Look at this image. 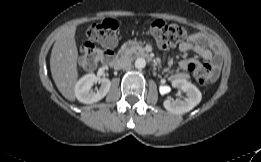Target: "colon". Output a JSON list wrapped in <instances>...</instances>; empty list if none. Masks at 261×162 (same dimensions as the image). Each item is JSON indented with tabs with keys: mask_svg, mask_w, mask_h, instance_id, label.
<instances>
[{
	"mask_svg": "<svg viewBox=\"0 0 261 162\" xmlns=\"http://www.w3.org/2000/svg\"><path fill=\"white\" fill-rule=\"evenodd\" d=\"M118 21L107 18L92 24L87 31L89 42L82 49L83 60L89 66H95L103 58V51L111 49L117 40ZM151 34L162 47H173L185 37L182 26L170 21L156 20L151 25ZM195 79L202 86L210 88L213 76L206 66H193Z\"/></svg>",
	"mask_w": 261,
	"mask_h": 162,
	"instance_id": "obj_1",
	"label": "colon"
}]
</instances>
